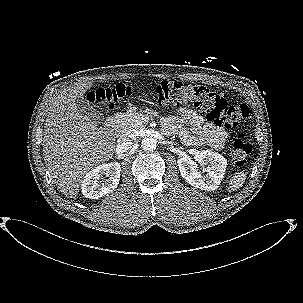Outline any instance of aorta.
I'll return each mask as SVG.
<instances>
[{
  "label": "aorta",
  "mask_w": 303,
  "mask_h": 303,
  "mask_svg": "<svg viewBox=\"0 0 303 303\" xmlns=\"http://www.w3.org/2000/svg\"><path fill=\"white\" fill-rule=\"evenodd\" d=\"M156 140L152 137H145L141 142V146L144 150L151 151L156 149Z\"/></svg>",
  "instance_id": "aorta-1"
}]
</instances>
